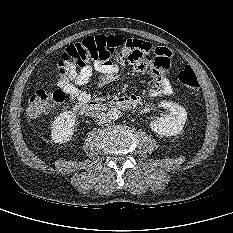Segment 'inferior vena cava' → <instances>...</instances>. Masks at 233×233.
<instances>
[{"mask_svg":"<svg viewBox=\"0 0 233 233\" xmlns=\"http://www.w3.org/2000/svg\"><path fill=\"white\" fill-rule=\"evenodd\" d=\"M96 121H97V124L101 125V126L108 125L111 123V120L109 119V117L105 113H100L97 116Z\"/></svg>","mask_w":233,"mask_h":233,"instance_id":"inferior-vena-cava-1","label":"inferior vena cava"}]
</instances>
